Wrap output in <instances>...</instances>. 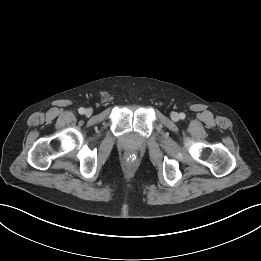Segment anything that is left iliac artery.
I'll use <instances>...</instances> for the list:
<instances>
[{"instance_id":"1","label":"left iliac artery","mask_w":261,"mask_h":261,"mask_svg":"<svg viewBox=\"0 0 261 261\" xmlns=\"http://www.w3.org/2000/svg\"><path fill=\"white\" fill-rule=\"evenodd\" d=\"M179 117H180V119H185L186 116L184 113H180Z\"/></svg>"}]
</instances>
